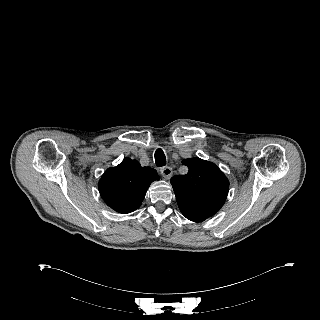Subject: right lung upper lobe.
I'll return each instance as SVG.
<instances>
[{
	"label": "right lung upper lobe",
	"mask_w": 320,
	"mask_h": 320,
	"mask_svg": "<svg viewBox=\"0 0 320 320\" xmlns=\"http://www.w3.org/2000/svg\"><path fill=\"white\" fill-rule=\"evenodd\" d=\"M155 180H159L155 169L141 167L138 161L126 158L118 166L106 170L98 189L108 206L127 214L140 207L148 187Z\"/></svg>",
	"instance_id": "1"
}]
</instances>
